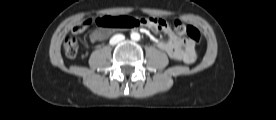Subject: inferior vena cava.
Segmentation results:
<instances>
[{"label": "inferior vena cava", "mask_w": 276, "mask_h": 120, "mask_svg": "<svg viewBox=\"0 0 276 120\" xmlns=\"http://www.w3.org/2000/svg\"><path fill=\"white\" fill-rule=\"evenodd\" d=\"M124 39H125V36L122 35V34L114 35V36L110 39V44H111V45H115V44H117L118 42L123 41Z\"/></svg>", "instance_id": "602c4592"}]
</instances>
